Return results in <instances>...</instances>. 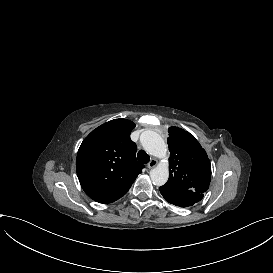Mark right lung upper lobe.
<instances>
[{
  "mask_svg": "<svg viewBox=\"0 0 273 273\" xmlns=\"http://www.w3.org/2000/svg\"><path fill=\"white\" fill-rule=\"evenodd\" d=\"M135 127L127 119H114L93 130L77 153L76 170L85 193L99 203H111L127 193L144 165L136 160L130 139Z\"/></svg>",
  "mask_w": 273,
  "mask_h": 273,
  "instance_id": "1",
  "label": "right lung upper lobe"
}]
</instances>
